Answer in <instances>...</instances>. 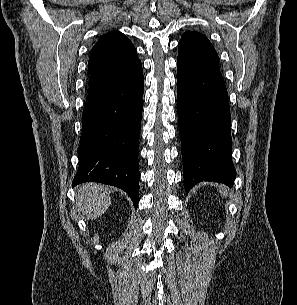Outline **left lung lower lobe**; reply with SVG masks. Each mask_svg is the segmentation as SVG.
Instances as JSON below:
<instances>
[{
	"mask_svg": "<svg viewBox=\"0 0 297 305\" xmlns=\"http://www.w3.org/2000/svg\"><path fill=\"white\" fill-rule=\"evenodd\" d=\"M177 84L185 190L201 181L232 187L231 117L220 70L188 72L177 64Z\"/></svg>",
	"mask_w": 297,
	"mask_h": 305,
	"instance_id": "left-lung-lower-lobe-1",
	"label": "left lung lower lobe"
}]
</instances>
